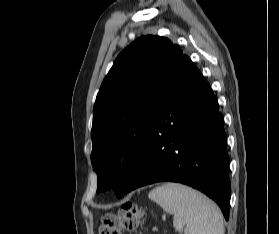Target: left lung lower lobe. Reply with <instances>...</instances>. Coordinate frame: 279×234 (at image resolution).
<instances>
[{
    "label": "left lung lower lobe",
    "mask_w": 279,
    "mask_h": 234,
    "mask_svg": "<svg viewBox=\"0 0 279 234\" xmlns=\"http://www.w3.org/2000/svg\"><path fill=\"white\" fill-rule=\"evenodd\" d=\"M229 157L223 116L210 85L186 55L168 81L125 193L159 181L196 188L229 219Z\"/></svg>",
    "instance_id": "0a47b994"
}]
</instances>
